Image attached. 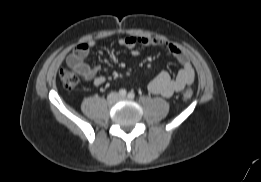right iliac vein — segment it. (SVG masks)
I'll list each match as a JSON object with an SVG mask.
<instances>
[{
    "mask_svg": "<svg viewBox=\"0 0 261 182\" xmlns=\"http://www.w3.org/2000/svg\"><path fill=\"white\" fill-rule=\"evenodd\" d=\"M115 99H116L115 95H112V96L109 97V102L112 103V102L115 101Z\"/></svg>",
    "mask_w": 261,
    "mask_h": 182,
    "instance_id": "1",
    "label": "right iliac vein"
}]
</instances>
